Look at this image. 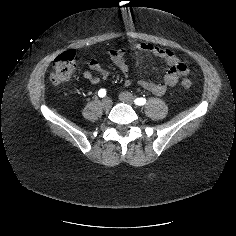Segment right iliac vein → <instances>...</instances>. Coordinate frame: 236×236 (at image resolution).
<instances>
[{
  "mask_svg": "<svg viewBox=\"0 0 236 236\" xmlns=\"http://www.w3.org/2000/svg\"><path fill=\"white\" fill-rule=\"evenodd\" d=\"M103 109L109 110L112 107V100L110 98H104L101 103Z\"/></svg>",
  "mask_w": 236,
  "mask_h": 236,
  "instance_id": "1",
  "label": "right iliac vein"
}]
</instances>
